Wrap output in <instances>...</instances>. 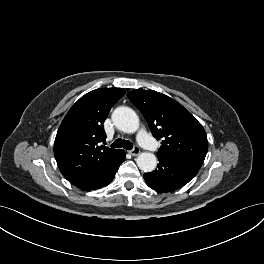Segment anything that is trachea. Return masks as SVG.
Returning a JSON list of instances; mask_svg holds the SVG:
<instances>
[{"instance_id": "3493384b", "label": "trachea", "mask_w": 264, "mask_h": 264, "mask_svg": "<svg viewBox=\"0 0 264 264\" xmlns=\"http://www.w3.org/2000/svg\"><path fill=\"white\" fill-rule=\"evenodd\" d=\"M111 147H114V148L123 147L124 149L131 150L133 148V144L129 140H122L121 138H118L114 141Z\"/></svg>"}]
</instances>
